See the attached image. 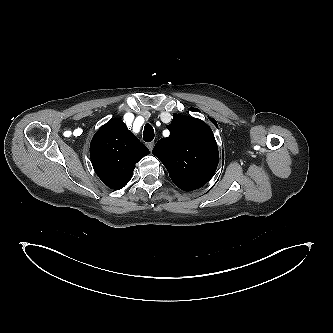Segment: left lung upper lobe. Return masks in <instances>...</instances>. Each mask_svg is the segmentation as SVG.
<instances>
[{"mask_svg":"<svg viewBox=\"0 0 333 333\" xmlns=\"http://www.w3.org/2000/svg\"><path fill=\"white\" fill-rule=\"evenodd\" d=\"M167 128L170 136L160 139L152 153L177 187L184 191L202 187L212 178L219 162L211 128L200 119L178 114Z\"/></svg>","mask_w":333,"mask_h":333,"instance_id":"obj_1","label":"left lung upper lobe"}]
</instances>
